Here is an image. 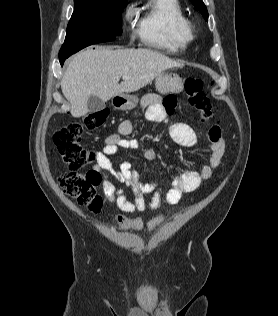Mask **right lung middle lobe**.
Returning <instances> with one entry per match:
<instances>
[{
  "instance_id": "dd1d6c3e",
  "label": "right lung middle lobe",
  "mask_w": 278,
  "mask_h": 316,
  "mask_svg": "<svg viewBox=\"0 0 278 316\" xmlns=\"http://www.w3.org/2000/svg\"><path fill=\"white\" fill-rule=\"evenodd\" d=\"M125 0H75V9L59 52L66 59L91 44L112 41L122 34V10Z\"/></svg>"
}]
</instances>
